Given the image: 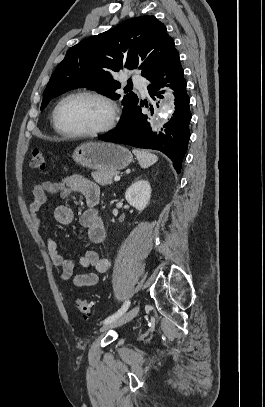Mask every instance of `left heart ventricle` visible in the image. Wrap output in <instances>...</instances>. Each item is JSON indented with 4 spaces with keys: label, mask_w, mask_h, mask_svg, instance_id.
Returning a JSON list of instances; mask_svg holds the SVG:
<instances>
[{
    "label": "left heart ventricle",
    "mask_w": 265,
    "mask_h": 407,
    "mask_svg": "<svg viewBox=\"0 0 265 407\" xmlns=\"http://www.w3.org/2000/svg\"><path fill=\"white\" fill-rule=\"evenodd\" d=\"M109 118L105 104L94 98L76 96L66 100L59 111L63 129L74 132L91 131L103 126Z\"/></svg>",
    "instance_id": "left-heart-ventricle-1"
}]
</instances>
